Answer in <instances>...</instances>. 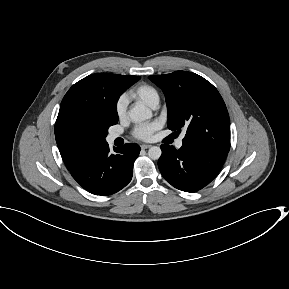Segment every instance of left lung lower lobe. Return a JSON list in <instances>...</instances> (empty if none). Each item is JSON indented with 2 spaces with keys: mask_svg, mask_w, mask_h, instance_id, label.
Wrapping results in <instances>:
<instances>
[{
  "mask_svg": "<svg viewBox=\"0 0 289 289\" xmlns=\"http://www.w3.org/2000/svg\"><path fill=\"white\" fill-rule=\"evenodd\" d=\"M161 150L158 167L162 176L172 186L185 192H196L209 184L221 170L228 154L186 141L179 150L169 145H161Z\"/></svg>",
  "mask_w": 289,
  "mask_h": 289,
  "instance_id": "0a47b994",
  "label": "left lung lower lobe"
}]
</instances>
